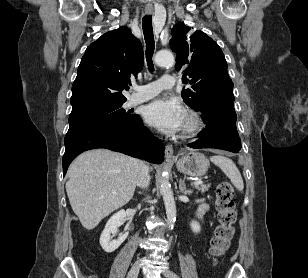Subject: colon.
I'll use <instances>...</instances> for the list:
<instances>
[{"instance_id": "obj_1", "label": "colon", "mask_w": 308, "mask_h": 278, "mask_svg": "<svg viewBox=\"0 0 308 278\" xmlns=\"http://www.w3.org/2000/svg\"><path fill=\"white\" fill-rule=\"evenodd\" d=\"M216 209L218 225L210 243V254L215 261L229 248L235 232L234 190L227 181L221 182L216 188Z\"/></svg>"}]
</instances>
